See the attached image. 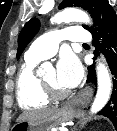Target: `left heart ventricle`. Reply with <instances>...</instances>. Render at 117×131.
Segmentation results:
<instances>
[{"label":"left heart ventricle","instance_id":"left-heart-ventricle-1","mask_svg":"<svg viewBox=\"0 0 117 131\" xmlns=\"http://www.w3.org/2000/svg\"><path fill=\"white\" fill-rule=\"evenodd\" d=\"M43 78L51 83L52 85H54L56 88L60 89V90H67L64 87L60 86V84L57 81V71L56 69L52 68L49 69L43 76Z\"/></svg>","mask_w":117,"mask_h":131}]
</instances>
